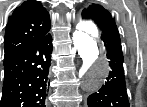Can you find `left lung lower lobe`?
Instances as JSON below:
<instances>
[{
  "mask_svg": "<svg viewBox=\"0 0 147 107\" xmlns=\"http://www.w3.org/2000/svg\"><path fill=\"white\" fill-rule=\"evenodd\" d=\"M111 71L99 90L88 99V107H129L123 69V53L118 30L101 33Z\"/></svg>",
  "mask_w": 147,
  "mask_h": 107,
  "instance_id": "0a47b994",
  "label": "left lung lower lobe"
}]
</instances>
